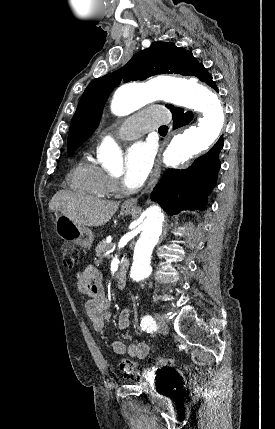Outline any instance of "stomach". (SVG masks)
Returning <instances> with one entry per match:
<instances>
[{
	"label": "stomach",
	"mask_w": 275,
	"mask_h": 429,
	"mask_svg": "<svg viewBox=\"0 0 275 429\" xmlns=\"http://www.w3.org/2000/svg\"><path fill=\"white\" fill-rule=\"evenodd\" d=\"M134 210L135 208L122 207L121 213L127 215ZM54 227L56 233L62 239L74 242L88 249L92 246L94 240L93 232L87 227L77 225L65 214L60 213L56 215Z\"/></svg>",
	"instance_id": "stomach-1"
}]
</instances>
